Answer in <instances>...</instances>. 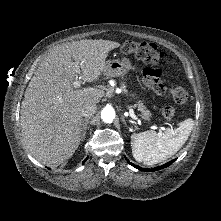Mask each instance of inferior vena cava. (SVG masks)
<instances>
[{
    "mask_svg": "<svg viewBox=\"0 0 221 221\" xmlns=\"http://www.w3.org/2000/svg\"><path fill=\"white\" fill-rule=\"evenodd\" d=\"M97 110V106L94 103H87L81 109V116L85 118L92 117Z\"/></svg>",
    "mask_w": 221,
    "mask_h": 221,
    "instance_id": "602c4592",
    "label": "inferior vena cava"
}]
</instances>
